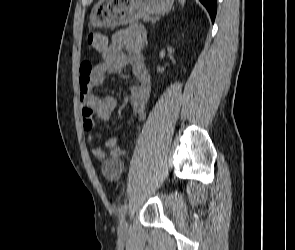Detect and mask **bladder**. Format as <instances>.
<instances>
[{
	"instance_id": "obj_1",
	"label": "bladder",
	"mask_w": 295,
	"mask_h": 250,
	"mask_svg": "<svg viewBox=\"0 0 295 250\" xmlns=\"http://www.w3.org/2000/svg\"><path fill=\"white\" fill-rule=\"evenodd\" d=\"M102 171L106 178L116 179L121 171V164L116 159H106L102 164Z\"/></svg>"
}]
</instances>
